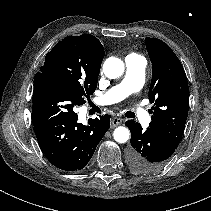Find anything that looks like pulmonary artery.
Listing matches in <instances>:
<instances>
[{
    "label": "pulmonary artery",
    "instance_id": "e3ab8cb5",
    "mask_svg": "<svg viewBox=\"0 0 211 211\" xmlns=\"http://www.w3.org/2000/svg\"><path fill=\"white\" fill-rule=\"evenodd\" d=\"M125 65L126 74L122 82L112 87L101 97L96 98V104L107 105L121 101L143 87L146 67L145 59L139 55L131 54L125 58ZM135 114L140 121L148 122L149 115L144 108H138Z\"/></svg>",
    "mask_w": 211,
    "mask_h": 211
}]
</instances>
